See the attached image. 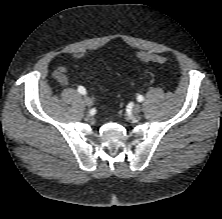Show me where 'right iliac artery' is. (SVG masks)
Here are the masks:
<instances>
[{"instance_id": "obj_1", "label": "right iliac artery", "mask_w": 222, "mask_h": 219, "mask_svg": "<svg viewBox=\"0 0 222 219\" xmlns=\"http://www.w3.org/2000/svg\"><path fill=\"white\" fill-rule=\"evenodd\" d=\"M77 90L82 95L86 94V89L83 86H79Z\"/></svg>"}]
</instances>
